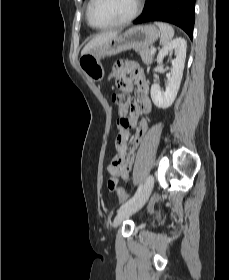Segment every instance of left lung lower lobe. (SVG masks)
Listing matches in <instances>:
<instances>
[{
  "instance_id": "left-lung-lower-lobe-1",
  "label": "left lung lower lobe",
  "mask_w": 229,
  "mask_h": 280,
  "mask_svg": "<svg viewBox=\"0 0 229 280\" xmlns=\"http://www.w3.org/2000/svg\"><path fill=\"white\" fill-rule=\"evenodd\" d=\"M196 0H146L143 14L133 23L164 21L183 29L192 39Z\"/></svg>"
}]
</instances>
